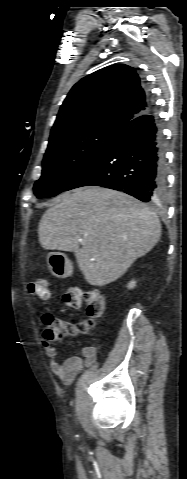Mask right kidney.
<instances>
[{"label":"right kidney","instance_id":"obj_1","mask_svg":"<svg viewBox=\"0 0 187 479\" xmlns=\"http://www.w3.org/2000/svg\"><path fill=\"white\" fill-rule=\"evenodd\" d=\"M135 286H136V281L132 280V281H130V282L128 283V286H127V287H128L129 289H133Z\"/></svg>","mask_w":187,"mask_h":479}]
</instances>
